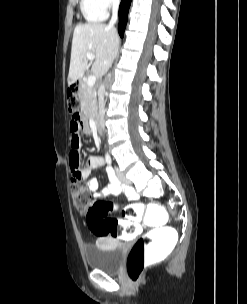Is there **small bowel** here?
Wrapping results in <instances>:
<instances>
[{
	"label": "small bowel",
	"mask_w": 247,
	"mask_h": 304,
	"mask_svg": "<svg viewBox=\"0 0 247 304\" xmlns=\"http://www.w3.org/2000/svg\"><path fill=\"white\" fill-rule=\"evenodd\" d=\"M81 112H70V119H80V120H69L68 126L70 127V169L72 172V177L79 179L85 183V188L92 193L95 197L105 198L110 195H118L122 192L129 199H136V192L130 187H124L117 180L113 170L107 168V176L109 183L107 186L99 190V182L96 178L91 177V172L103 165V159L100 156H90L86 162L83 164V152L80 148V141L83 134H88L90 128L85 120H82ZM83 164V165H82Z\"/></svg>",
	"instance_id": "obj_1"
}]
</instances>
